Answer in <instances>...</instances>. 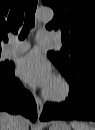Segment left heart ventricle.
Returning <instances> with one entry per match:
<instances>
[{
  "mask_svg": "<svg viewBox=\"0 0 95 130\" xmlns=\"http://www.w3.org/2000/svg\"><path fill=\"white\" fill-rule=\"evenodd\" d=\"M47 87L51 93H58L60 91L59 84L54 81H51Z\"/></svg>",
  "mask_w": 95,
  "mask_h": 130,
  "instance_id": "1",
  "label": "left heart ventricle"
}]
</instances>
